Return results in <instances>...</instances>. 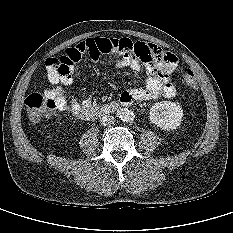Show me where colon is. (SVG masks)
Here are the masks:
<instances>
[{"instance_id": "1", "label": "colon", "mask_w": 233, "mask_h": 233, "mask_svg": "<svg viewBox=\"0 0 233 233\" xmlns=\"http://www.w3.org/2000/svg\"><path fill=\"white\" fill-rule=\"evenodd\" d=\"M137 46L141 45L135 47ZM118 52H130V46L126 39H88L75 47L66 49L60 57L52 58L51 63L60 74H67L71 72L73 65L82 58L97 60L101 55ZM180 80L192 90L198 88L197 79L188 67L180 73ZM25 105L29 117L34 121H39L56 109V100L52 93L34 92L26 97Z\"/></svg>"}]
</instances>
